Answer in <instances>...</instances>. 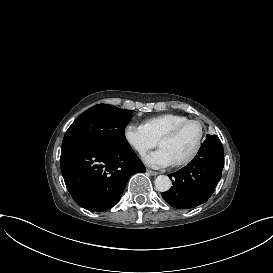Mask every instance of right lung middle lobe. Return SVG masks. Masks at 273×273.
Here are the masks:
<instances>
[{
	"label": "right lung middle lobe",
	"mask_w": 273,
	"mask_h": 273,
	"mask_svg": "<svg viewBox=\"0 0 273 273\" xmlns=\"http://www.w3.org/2000/svg\"><path fill=\"white\" fill-rule=\"evenodd\" d=\"M132 111L108 104L95 105L82 114L67 130L62 148L87 143L118 150L131 149L125 138V128L131 119Z\"/></svg>",
	"instance_id": "1"
}]
</instances>
